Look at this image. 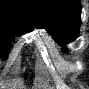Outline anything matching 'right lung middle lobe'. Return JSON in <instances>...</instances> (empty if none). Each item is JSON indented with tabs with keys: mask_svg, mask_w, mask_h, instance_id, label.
Returning a JSON list of instances; mask_svg holds the SVG:
<instances>
[{
	"mask_svg": "<svg viewBox=\"0 0 89 89\" xmlns=\"http://www.w3.org/2000/svg\"><path fill=\"white\" fill-rule=\"evenodd\" d=\"M27 32H30V30L22 29L7 22L0 23V54L4 59L7 58L9 42L13 40L14 35L20 36Z\"/></svg>",
	"mask_w": 89,
	"mask_h": 89,
	"instance_id": "right-lung-middle-lobe-1",
	"label": "right lung middle lobe"
}]
</instances>
